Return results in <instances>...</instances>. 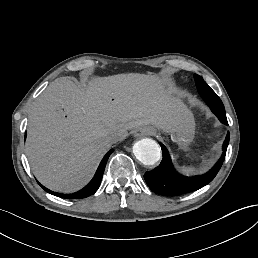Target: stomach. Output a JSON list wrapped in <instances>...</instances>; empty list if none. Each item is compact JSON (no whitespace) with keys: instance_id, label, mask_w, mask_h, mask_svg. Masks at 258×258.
I'll use <instances>...</instances> for the list:
<instances>
[{"instance_id":"0dacf381","label":"stomach","mask_w":258,"mask_h":258,"mask_svg":"<svg viewBox=\"0 0 258 258\" xmlns=\"http://www.w3.org/2000/svg\"><path fill=\"white\" fill-rule=\"evenodd\" d=\"M181 122L177 128V131L171 133V140L178 144L180 148L187 147L194 138L195 132V121L192 112L187 108V106L183 103L181 108ZM141 129H145L147 132H151L152 134H156V130L152 126L144 127Z\"/></svg>"}]
</instances>
